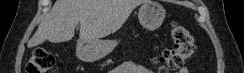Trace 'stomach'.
<instances>
[{"label":"stomach","instance_id":"0dacf381","mask_svg":"<svg viewBox=\"0 0 244 73\" xmlns=\"http://www.w3.org/2000/svg\"><path fill=\"white\" fill-rule=\"evenodd\" d=\"M165 15L163 6L154 0L142 3L138 11L139 22L149 30L160 27ZM117 44L116 40L79 41L76 46V54L82 61L92 62L111 53Z\"/></svg>","mask_w":244,"mask_h":73}]
</instances>
